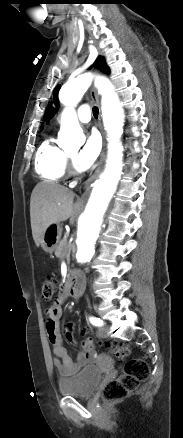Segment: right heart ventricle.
Instances as JSON below:
<instances>
[{
    "label": "right heart ventricle",
    "instance_id": "1",
    "mask_svg": "<svg viewBox=\"0 0 183 438\" xmlns=\"http://www.w3.org/2000/svg\"><path fill=\"white\" fill-rule=\"evenodd\" d=\"M35 168L43 179L59 182L66 174L67 155L52 141L45 140L37 151Z\"/></svg>",
    "mask_w": 183,
    "mask_h": 438
}]
</instances>
